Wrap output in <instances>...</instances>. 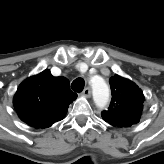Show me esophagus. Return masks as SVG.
I'll return each mask as SVG.
<instances>
[{"label":"esophagus","mask_w":164,"mask_h":164,"mask_svg":"<svg viewBox=\"0 0 164 164\" xmlns=\"http://www.w3.org/2000/svg\"><path fill=\"white\" fill-rule=\"evenodd\" d=\"M91 93H92L91 88L90 87H86L83 90L82 95L87 97V98H89L91 96Z\"/></svg>","instance_id":"esophagus-1"}]
</instances>
